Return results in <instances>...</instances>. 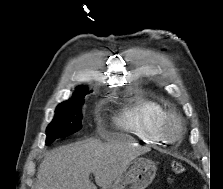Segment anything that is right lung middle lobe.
Wrapping results in <instances>:
<instances>
[{
    "instance_id": "dd1d6c3e",
    "label": "right lung middle lobe",
    "mask_w": 223,
    "mask_h": 189,
    "mask_svg": "<svg viewBox=\"0 0 223 189\" xmlns=\"http://www.w3.org/2000/svg\"><path fill=\"white\" fill-rule=\"evenodd\" d=\"M86 93L73 95L68 101L61 103L56 111L55 117L47 128L46 145L51 144L58 138L67 137L82 127L81 119L82 104Z\"/></svg>"
}]
</instances>
